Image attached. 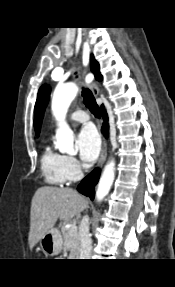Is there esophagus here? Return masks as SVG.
I'll list each match as a JSON object with an SVG mask.
<instances>
[{"label": "esophagus", "mask_w": 175, "mask_h": 287, "mask_svg": "<svg viewBox=\"0 0 175 287\" xmlns=\"http://www.w3.org/2000/svg\"><path fill=\"white\" fill-rule=\"evenodd\" d=\"M88 72V69H84L83 70V76H86ZM91 77H93L92 75H90ZM89 87L91 89V91L93 92L94 96H98L99 95V91H100V87L99 84L96 81H92L89 83ZM106 153H107V142L104 139L103 144H102V150H101V155L98 161V165L97 166H101L102 163L104 162L105 158H106Z\"/></svg>", "instance_id": "1"}]
</instances>
